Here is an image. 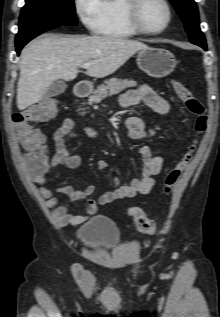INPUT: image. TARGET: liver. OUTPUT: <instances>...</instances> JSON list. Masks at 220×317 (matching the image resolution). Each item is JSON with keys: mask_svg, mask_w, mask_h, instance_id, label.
<instances>
[{"mask_svg": "<svg viewBox=\"0 0 220 317\" xmlns=\"http://www.w3.org/2000/svg\"><path fill=\"white\" fill-rule=\"evenodd\" d=\"M147 47L139 41L112 36L38 37L21 52L17 107L24 110L38 103L54 81L75 79L78 67L84 63H93L86 71L88 76L103 78Z\"/></svg>", "mask_w": 220, "mask_h": 317, "instance_id": "obj_1", "label": "liver"}]
</instances>
